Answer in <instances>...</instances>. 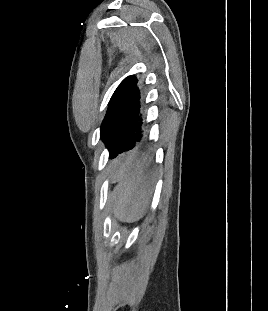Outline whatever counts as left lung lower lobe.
<instances>
[{"instance_id":"obj_1","label":"left lung lower lobe","mask_w":268,"mask_h":311,"mask_svg":"<svg viewBox=\"0 0 268 311\" xmlns=\"http://www.w3.org/2000/svg\"><path fill=\"white\" fill-rule=\"evenodd\" d=\"M118 118L117 129L107 147L109 158L133 149L146 138L148 123L138 83L133 88Z\"/></svg>"}]
</instances>
